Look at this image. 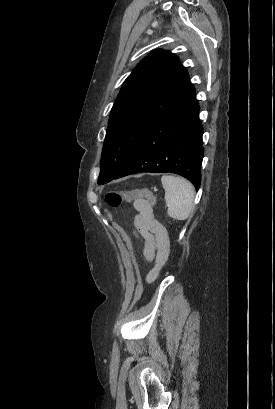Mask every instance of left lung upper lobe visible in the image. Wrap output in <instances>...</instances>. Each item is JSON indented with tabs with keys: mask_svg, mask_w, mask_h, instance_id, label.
<instances>
[{
	"mask_svg": "<svg viewBox=\"0 0 275 409\" xmlns=\"http://www.w3.org/2000/svg\"><path fill=\"white\" fill-rule=\"evenodd\" d=\"M194 91L186 69L174 54L150 52L127 77L112 107L98 184L113 180L150 127Z\"/></svg>",
	"mask_w": 275,
	"mask_h": 409,
	"instance_id": "obj_1",
	"label": "left lung upper lobe"
}]
</instances>
